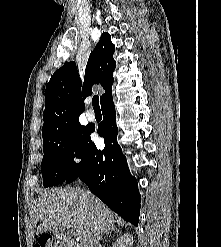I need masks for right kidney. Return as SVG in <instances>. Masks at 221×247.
I'll list each match as a JSON object with an SVG mask.
<instances>
[{"mask_svg":"<svg viewBox=\"0 0 221 247\" xmlns=\"http://www.w3.org/2000/svg\"><path fill=\"white\" fill-rule=\"evenodd\" d=\"M133 237L129 234L121 236L112 247H132Z\"/></svg>","mask_w":221,"mask_h":247,"instance_id":"right-kidney-1","label":"right kidney"}]
</instances>
